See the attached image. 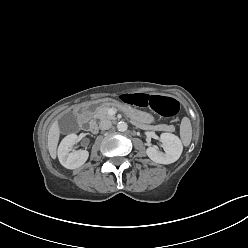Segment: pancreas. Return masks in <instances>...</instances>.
<instances>
[{"label":"pancreas","instance_id":"cf45deb5","mask_svg":"<svg viewBox=\"0 0 248 248\" xmlns=\"http://www.w3.org/2000/svg\"><path fill=\"white\" fill-rule=\"evenodd\" d=\"M111 107H117L115 103L109 102L104 105H102L96 112L95 118L104 120V119H109L112 120L114 119V116H111L108 114V110ZM136 125L142 129H151V130H163V131H169L173 132L175 131V127L173 125H145L141 123H136Z\"/></svg>","mask_w":248,"mask_h":248}]
</instances>
